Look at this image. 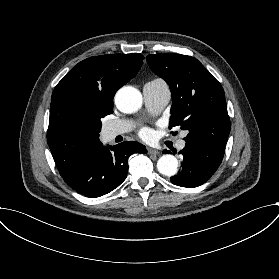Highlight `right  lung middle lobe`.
Returning a JSON list of instances; mask_svg holds the SVG:
<instances>
[{"instance_id":"obj_1","label":"right lung middle lobe","mask_w":279,"mask_h":279,"mask_svg":"<svg viewBox=\"0 0 279 279\" xmlns=\"http://www.w3.org/2000/svg\"><path fill=\"white\" fill-rule=\"evenodd\" d=\"M113 113V106H110L106 111L100 113V117L103 118L105 115Z\"/></svg>"}]
</instances>
